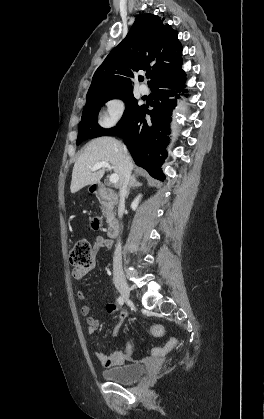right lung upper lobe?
I'll list each match as a JSON object with an SVG mask.
<instances>
[{
  "mask_svg": "<svg viewBox=\"0 0 264 419\" xmlns=\"http://www.w3.org/2000/svg\"><path fill=\"white\" fill-rule=\"evenodd\" d=\"M178 33L153 14L139 15L126 38L105 58L94 73L87 97L132 90L127 76L140 69L152 73L151 86L159 78L183 72ZM143 77L139 76L141 81Z\"/></svg>",
  "mask_w": 264,
  "mask_h": 419,
  "instance_id": "obj_1",
  "label": "right lung upper lobe"
}]
</instances>
